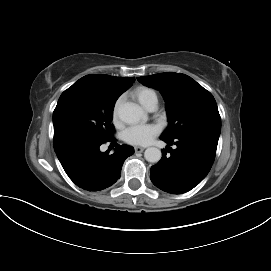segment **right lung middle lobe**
I'll return each mask as SVG.
<instances>
[{"label":"right lung middle lobe","instance_id":"right-lung-middle-lobe-1","mask_svg":"<svg viewBox=\"0 0 271 271\" xmlns=\"http://www.w3.org/2000/svg\"><path fill=\"white\" fill-rule=\"evenodd\" d=\"M119 96L95 93L73 84L60 96L53 112L54 150L113 138V109Z\"/></svg>","mask_w":271,"mask_h":271}]
</instances>
